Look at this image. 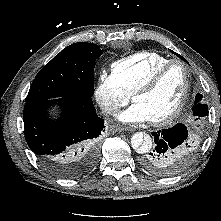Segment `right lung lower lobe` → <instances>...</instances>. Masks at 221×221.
I'll return each mask as SVG.
<instances>
[{
	"instance_id": "obj_1",
	"label": "right lung lower lobe",
	"mask_w": 221,
	"mask_h": 221,
	"mask_svg": "<svg viewBox=\"0 0 221 221\" xmlns=\"http://www.w3.org/2000/svg\"><path fill=\"white\" fill-rule=\"evenodd\" d=\"M57 103L61 118L51 120L47 110ZM23 121L28 146L52 174L75 178L94 164L95 140L104 131V119L96 114L90 96L26 102Z\"/></svg>"
}]
</instances>
